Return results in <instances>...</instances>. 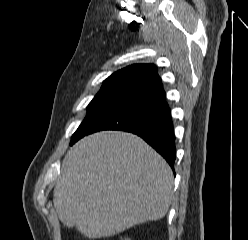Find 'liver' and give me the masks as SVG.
Segmentation results:
<instances>
[{
    "instance_id": "obj_1",
    "label": "liver",
    "mask_w": 248,
    "mask_h": 240,
    "mask_svg": "<svg viewBox=\"0 0 248 240\" xmlns=\"http://www.w3.org/2000/svg\"><path fill=\"white\" fill-rule=\"evenodd\" d=\"M173 173L140 137L104 131L66 154L53 202L68 227L89 239L110 237L163 218L171 204Z\"/></svg>"
}]
</instances>
